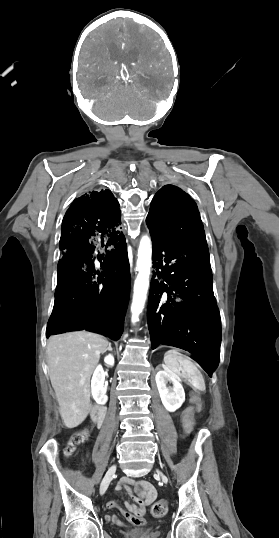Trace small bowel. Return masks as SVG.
<instances>
[{"mask_svg":"<svg viewBox=\"0 0 279 538\" xmlns=\"http://www.w3.org/2000/svg\"><path fill=\"white\" fill-rule=\"evenodd\" d=\"M130 485H138L139 498L135 499L137 504H131L125 502V509L120 507L116 501H108L106 504L107 509L118 508L122 512L123 516L131 522L133 525H141L144 523L143 516L146 513V507L149 506L156 499V490L154 486L147 481H140L136 483L133 479L122 478L115 486V491H122L128 489ZM106 521L118 526H123L118 515H106Z\"/></svg>","mask_w":279,"mask_h":538,"instance_id":"c3829d8e","label":"small bowel"}]
</instances>
